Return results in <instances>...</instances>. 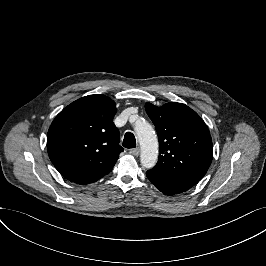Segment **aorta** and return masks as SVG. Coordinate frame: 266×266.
Segmentation results:
<instances>
[{
    "label": "aorta",
    "mask_w": 266,
    "mask_h": 266,
    "mask_svg": "<svg viewBox=\"0 0 266 266\" xmlns=\"http://www.w3.org/2000/svg\"><path fill=\"white\" fill-rule=\"evenodd\" d=\"M134 130L141 145V165L146 169L153 168L158 160V141L155 131L146 121L137 122Z\"/></svg>",
    "instance_id": "obj_1"
}]
</instances>
